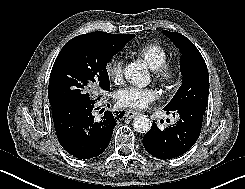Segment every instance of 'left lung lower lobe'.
<instances>
[{"mask_svg":"<svg viewBox=\"0 0 245 189\" xmlns=\"http://www.w3.org/2000/svg\"><path fill=\"white\" fill-rule=\"evenodd\" d=\"M166 113L170 111L177 114V123L159 129L154 122L151 130L145 134L143 145L146 151L159 159H171L187 152L197 141L203 115L205 112L195 107H184L176 110L164 108Z\"/></svg>","mask_w":245,"mask_h":189,"instance_id":"left-lung-lower-lobe-1","label":"left lung lower lobe"}]
</instances>
